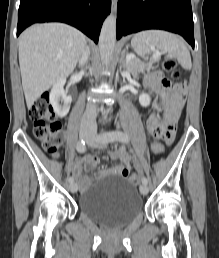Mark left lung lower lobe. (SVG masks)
<instances>
[{
  "label": "left lung lower lobe",
  "mask_w": 219,
  "mask_h": 258,
  "mask_svg": "<svg viewBox=\"0 0 219 258\" xmlns=\"http://www.w3.org/2000/svg\"><path fill=\"white\" fill-rule=\"evenodd\" d=\"M146 29L178 33L194 48L191 0H119L117 39Z\"/></svg>",
  "instance_id": "left-lung-lower-lobe-1"
}]
</instances>
